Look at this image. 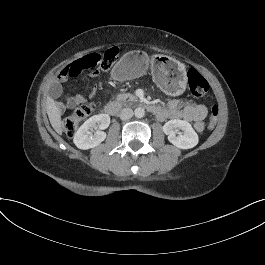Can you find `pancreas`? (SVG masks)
I'll return each mask as SVG.
<instances>
[{
  "instance_id": "obj_1",
  "label": "pancreas",
  "mask_w": 265,
  "mask_h": 265,
  "mask_svg": "<svg viewBox=\"0 0 265 265\" xmlns=\"http://www.w3.org/2000/svg\"><path fill=\"white\" fill-rule=\"evenodd\" d=\"M115 100L118 102H121L122 104H126V101L132 102V101H138V97L134 96L133 94L130 93H119L116 97Z\"/></svg>"
}]
</instances>
